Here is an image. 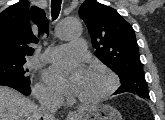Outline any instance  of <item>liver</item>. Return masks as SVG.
<instances>
[{
    "label": "liver",
    "instance_id": "1",
    "mask_svg": "<svg viewBox=\"0 0 165 120\" xmlns=\"http://www.w3.org/2000/svg\"><path fill=\"white\" fill-rule=\"evenodd\" d=\"M37 104L16 90L0 86V120H40Z\"/></svg>",
    "mask_w": 165,
    "mask_h": 120
}]
</instances>
